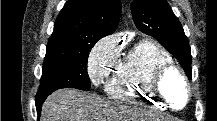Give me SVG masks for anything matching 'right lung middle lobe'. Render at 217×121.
<instances>
[{
	"label": "right lung middle lobe",
	"mask_w": 217,
	"mask_h": 121,
	"mask_svg": "<svg viewBox=\"0 0 217 121\" xmlns=\"http://www.w3.org/2000/svg\"><path fill=\"white\" fill-rule=\"evenodd\" d=\"M98 40L86 42L48 41L43 73L36 99L61 88L89 90L87 60Z\"/></svg>",
	"instance_id": "dd1d6c3e"
}]
</instances>
